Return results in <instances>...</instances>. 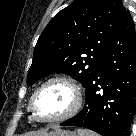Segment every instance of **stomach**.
<instances>
[{"mask_svg": "<svg viewBox=\"0 0 136 136\" xmlns=\"http://www.w3.org/2000/svg\"><path fill=\"white\" fill-rule=\"evenodd\" d=\"M52 132L53 133L49 134L48 136H77L74 132L67 130H56Z\"/></svg>", "mask_w": 136, "mask_h": 136, "instance_id": "obj_1", "label": "stomach"}]
</instances>
